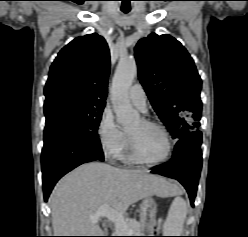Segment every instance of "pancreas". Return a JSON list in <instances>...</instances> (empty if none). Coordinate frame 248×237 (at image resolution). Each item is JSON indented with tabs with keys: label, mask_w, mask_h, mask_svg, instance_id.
<instances>
[{
	"label": "pancreas",
	"mask_w": 248,
	"mask_h": 237,
	"mask_svg": "<svg viewBox=\"0 0 248 237\" xmlns=\"http://www.w3.org/2000/svg\"><path fill=\"white\" fill-rule=\"evenodd\" d=\"M144 232V227L140 222L134 219L126 220V227L118 229L116 227L115 236H141Z\"/></svg>",
	"instance_id": "obj_1"
}]
</instances>
